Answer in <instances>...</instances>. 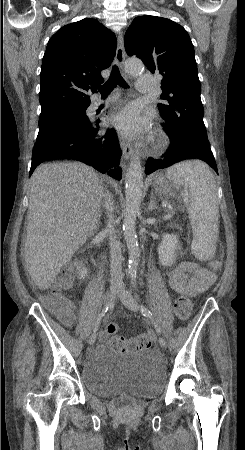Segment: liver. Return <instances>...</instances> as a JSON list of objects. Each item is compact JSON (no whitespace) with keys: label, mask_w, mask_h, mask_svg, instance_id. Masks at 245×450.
I'll use <instances>...</instances> for the list:
<instances>
[{"label":"liver","mask_w":245,"mask_h":450,"mask_svg":"<svg viewBox=\"0 0 245 450\" xmlns=\"http://www.w3.org/2000/svg\"><path fill=\"white\" fill-rule=\"evenodd\" d=\"M103 186L97 173L79 162L36 168L30 185L26 269L39 289L51 286L63 266L97 230Z\"/></svg>","instance_id":"obj_1"}]
</instances>
